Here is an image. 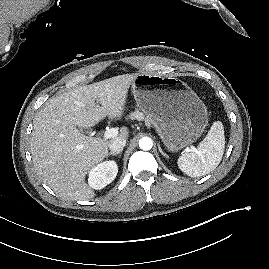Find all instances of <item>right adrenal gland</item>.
I'll use <instances>...</instances> for the list:
<instances>
[{
	"label": "right adrenal gland",
	"mask_w": 269,
	"mask_h": 269,
	"mask_svg": "<svg viewBox=\"0 0 269 269\" xmlns=\"http://www.w3.org/2000/svg\"><path fill=\"white\" fill-rule=\"evenodd\" d=\"M122 151H118V152H110L108 153V155H112V156H117L121 153Z\"/></svg>",
	"instance_id": "right-adrenal-gland-1"
}]
</instances>
